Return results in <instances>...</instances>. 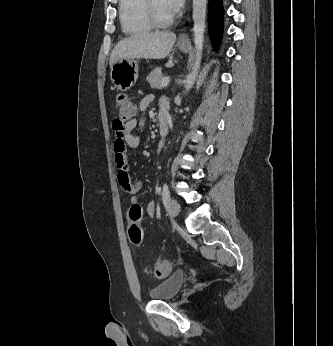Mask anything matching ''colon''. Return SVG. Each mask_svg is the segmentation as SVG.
Listing matches in <instances>:
<instances>
[{
  "mask_svg": "<svg viewBox=\"0 0 333 346\" xmlns=\"http://www.w3.org/2000/svg\"><path fill=\"white\" fill-rule=\"evenodd\" d=\"M117 110L120 121L133 118L136 115V106L134 102L125 94H119L116 98ZM142 217L140 205H133L128 211V236L134 245H140L143 241V231L139 225ZM173 269V263L170 260H161L156 263L153 274L157 278H164L170 274Z\"/></svg>",
  "mask_w": 333,
  "mask_h": 346,
  "instance_id": "obj_1",
  "label": "colon"
}]
</instances>
